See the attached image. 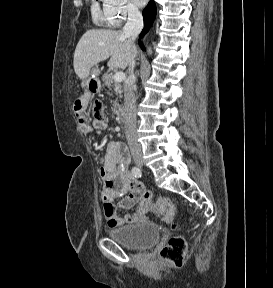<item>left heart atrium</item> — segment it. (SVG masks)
Listing matches in <instances>:
<instances>
[{
    "label": "left heart atrium",
    "mask_w": 273,
    "mask_h": 288,
    "mask_svg": "<svg viewBox=\"0 0 273 288\" xmlns=\"http://www.w3.org/2000/svg\"><path fill=\"white\" fill-rule=\"evenodd\" d=\"M134 2L138 5V6H143L146 4L147 0H134Z\"/></svg>",
    "instance_id": "39dd6f15"
}]
</instances>
